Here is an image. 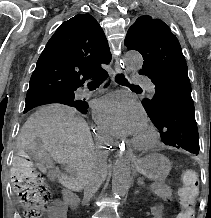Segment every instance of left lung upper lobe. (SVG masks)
I'll list each match as a JSON object with an SVG mask.
<instances>
[{
    "instance_id": "left-lung-upper-lobe-1",
    "label": "left lung upper lobe",
    "mask_w": 211,
    "mask_h": 218,
    "mask_svg": "<svg viewBox=\"0 0 211 218\" xmlns=\"http://www.w3.org/2000/svg\"><path fill=\"white\" fill-rule=\"evenodd\" d=\"M125 46L141 53L144 59L140 75L155 85L153 98L142 105L162 141L191 153H199V136L188 68L180 43L170 28L149 15L137 18L129 28Z\"/></svg>"
}]
</instances>
